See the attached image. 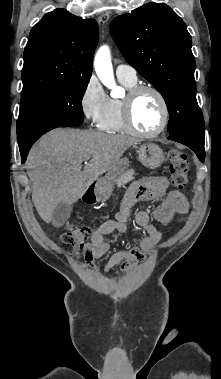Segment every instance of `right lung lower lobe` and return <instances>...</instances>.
Listing matches in <instances>:
<instances>
[{
    "label": "right lung lower lobe",
    "instance_id": "98d812e1",
    "mask_svg": "<svg viewBox=\"0 0 221 379\" xmlns=\"http://www.w3.org/2000/svg\"><path fill=\"white\" fill-rule=\"evenodd\" d=\"M36 140H32V141H26V142H21V143H18L19 145V149H20V154H21V159H22V163L25 162L26 158H27V155H28V152L31 148V146L33 145V143L35 142Z\"/></svg>",
    "mask_w": 221,
    "mask_h": 379
}]
</instances>
